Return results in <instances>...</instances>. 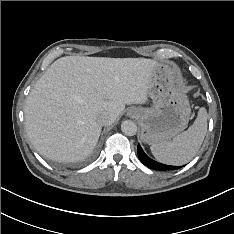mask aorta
Instances as JSON below:
<instances>
[{
	"label": "aorta",
	"mask_w": 234,
	"mask_h": 234,
	"mask_svg": "<svg viewBox=\"0 0 234 234\" xmlns=\"http://www.w3.org/2000/svg\"><path fill=\"white\" fill-rule=\"evenodd\" d=\"M121 130L127 136H134L137 133V125L131 120H125L121 124Z\"/></svg>",
	"instance_id": "762f6f07"
}]
</instances>
